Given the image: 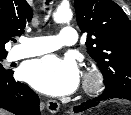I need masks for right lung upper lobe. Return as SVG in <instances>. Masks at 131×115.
I'll use <instances>...</instances> for the list:
<instances>
[{
    "instance_id": "1",
    "label": "right lung upper lobe",
    "mask_w": 131,
    "mask_h": 115,
    "mask_svg": "<svg viewBox=\"0 0 131 115\" xmlns=\"http://www.w3.org/2000/svg\"><path fill=\"white\" fill-rule=\"evenodd\" d=\"M32 19V9L26 0H0V56L7 55L5 43L20 36Z\"/></svg>"
}]
</instances>
